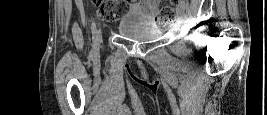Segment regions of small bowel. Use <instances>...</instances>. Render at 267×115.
I'll return each mask as SVG.
<instances>
[{
  "instance_id": "c3829d8e",
  "label": "small bowel",
  "mask_w": 267,
  "mask_h": 115,
  "mask_svg": "<svg viewBox=\"0 0 267 115\" xmlns=\"http://www.w3.org/2000/svg\"><path fill=\"white\" fill-rule=\"evenodd\" d=\"M159 3V0H145L138 3H133L130 6L131 13L148 20H153L155 18Z\"/></svg>"
}]
</instances>
